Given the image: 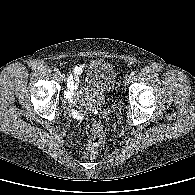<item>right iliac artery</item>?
<instances>
[{"label": "right iliac artery", "mask_w": 195, "mask_h": 195, "mask_svg": "<svg viewBox=\"0 0 195 195\" xmlns=\"http://www.w3.org/2000/svg\"><path fill=\"white\" fill-rule=\"evenodd\" d=\"M54 71H55V73H60L58 68H55Z\"/></svg>", "instance_id": "right-iliac-artery-1"}]
</instances>
